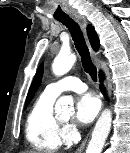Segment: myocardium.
Here are the masks:
<instances>
[{
  "label": "myocardium",
  "instance_id": "f54148a6",
  "mask_svg": "<svg viewBox=\"0 0 130 153\" xmlns=\"http://www.w3.org/2000/svg\"><path fill=\"white\" fill-rule=\"evenodd\" d=\"M58 120L60 121L61 124L64 123V120H62V119H60V118H58Z\"/></svg>",
  "mask_w": 130,
  "mask_h": 153
}]
</instances>
